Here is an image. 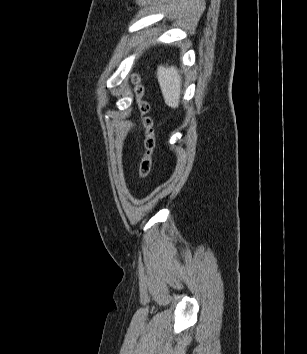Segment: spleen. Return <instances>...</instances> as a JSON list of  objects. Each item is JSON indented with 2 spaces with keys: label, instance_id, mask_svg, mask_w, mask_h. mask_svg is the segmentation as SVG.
I'll use <instances>...</instances> for the list:
<instances>
[{
  "label": "spleen",
  "instance_id": "3e777b00",
  "mask_svg": "<svg viewBox=\"0 0 307 354\" xmlns=\"http://www.w3.org/2000/svg\"><path fill=\"white\" fill-rule=\"evenodd\" d=\"M157 79L165 103L172 108L178 107L182 84L179 71L174 66L160 65L157 69Z\"/></svg>",
  "mask_w": 307,
  "mask_h": 354
}]
</instances>
